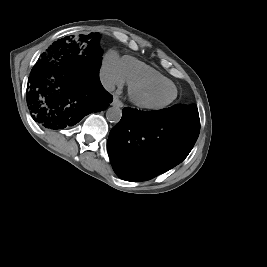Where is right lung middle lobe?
Returning <instances> with one entry per match:
<instances>
[{
    "instance_id": "dd1d6c3e",
    "label": "right lung middle lobe",
    "mask_w": 267,
    "mask_h": 267,
    "mask_svg": "<svg viewBox=\"0 0 267 267\" xmlns=\"http://www.w3.org/2000/svg\"><path fill=\"white\" fill-rule=\"evenodd\" d=\"M99 38L100 37L98 33L81 35V38L78 41H72V39H70L69 37H65L63 40L54 42L53 45L48 49V51H50L51 49L59 48L61 44H67L77 49V51L85 54H91L93 57L101 61L102 51L98 46Z\"/></svg>"
}]
</instances>
